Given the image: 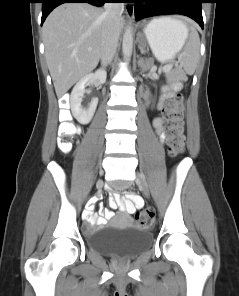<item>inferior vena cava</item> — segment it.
<instances>
[{
    "instance_id": "602c4592",
    "label": "inferior vena cava",
    "mask_w": 239,
    "mask_h": 296,
    "mask_svg": "<svg viewBox=\"0 0 239 296\" xmlns=\"http://www.w3.org/2000/svg\"><path fill=\"white\" fill-rule=\"evenodd\" d=\"M124 10L123 3H105L102 29L101 65L107 66L113 59L119 40L118 23Z\"/></svg>"
}]
</instances>
